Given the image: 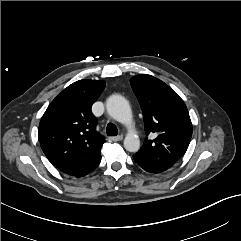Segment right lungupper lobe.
<instances>
[{
    "label": "right lung upper lobe",
    "mask_w": 241,
    "mask_h": 241,
    "mask_svg": "<svg viewBox=\"0 0 241 241\" xmlns=\"http://www.w3.org/2000/svg\"><path fill=\"white\" fill-rule=\"evenodd\" d=\"M105 88L103 80H79L48 106L39 124V141L48 160L71 176L96 167L104 138L96 132L92 104Z\"/></svg>",
    "instance_id": "cb5924a9"
}]
</instances>
